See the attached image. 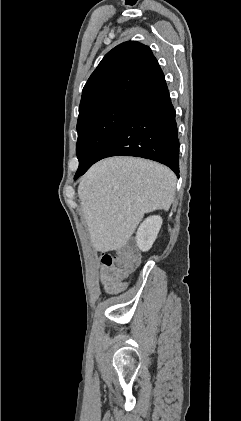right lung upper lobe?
<instances>
[{"label": "right lung upper lobe", "instance_id": "right-lung-upper-lobe-1", "mask_svg": "<svg viewBox=\"0 0 241 421\" xmlns=\"http://www.w3.org/2000/svg\"><path fill=\"white\" fill-rule=\"evenodd\" d=\"M162 74L148 46L136 41L119 44L104 56L85 84L79 117L116 102L131 101Z\"/></svg>", "mask_w": 241, "mask_h": 421}]
</instances>
